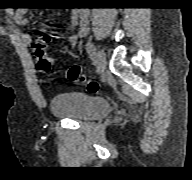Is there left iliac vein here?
I'll return each instance as SVG.
<instances>
[{"label": "left iliac vein", "mask_w": 192, "mask_h": 180, "mask_svg": "<svg viewBox=\"0 0 192 180\" xmlns=\"http://www.w3.org/2000/svg\"><path fill=\"white\" fill-rule=\"evenodd\" d=\"M96 66H97V72L101 73L106 68V54L104 50L99 49L96 53L95 57Z\"/></svg>", "instance_id": "4c4485c4"}]
</instances>
